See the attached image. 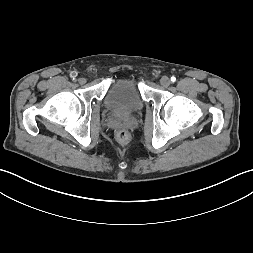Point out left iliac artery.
I'll use <instances>...</instances> for the list:
<instances>
[{
	"label": "left iliac artery",
	"instance_id": "obj_1",
	"mask_svg": "<svg viewBox=\"0 0 253 253\" xmlns=\"http://www.w3.org/2000/svg\"><path fill=\"white\" fill-rule=\"evenodd\" d=\"M171 81L172 82H175L176 81V78L174 76L171 77Z\"/></svg>",
	"mask_w": 253,
	"mask_h": 253
}]
</instances>
